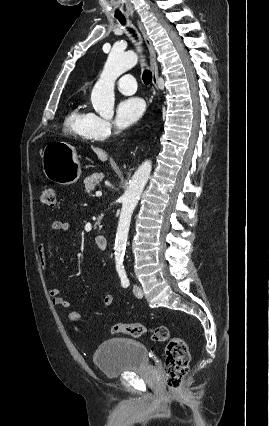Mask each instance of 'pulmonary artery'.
Listing matches in <instances>:
<instances>
[{
  "mask_svg": "<svg viewBox=\"0 0 269 426\" xmlns=\"http://www.w3.org/2000/svg\"><path fill=\"white\" fill-rule=\"evenodd\" d=\"M117 89L126 95H131L136 92V81L131 74H125L116 81Z\"/></svg>",
  "mask_w": 269,
  "mask_h": 426,
  "instance_id": "pulmonary-artery-1",
  "label": "pulmonary artery"
}]
</instances>
